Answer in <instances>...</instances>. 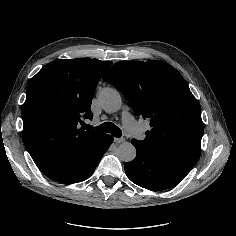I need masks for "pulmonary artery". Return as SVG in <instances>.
I'll return each instance as SVG.
<instances>
[{"label":"pulmonary artery","instance_id":"pulmonary-artery-1","mask_svg":"<svg viewBox=\"0 0 236 236\" xmlns=\"http://www.w3.org/2000/svg\"><path fill=\"white\" fill-rule=\"evenodd\" d=\"M125 128L132 136H140L142 134V127L137 124L134 117H127L125 119Z\"/></svg>","mask_w":236,"mask_h":236}]
</instances>
